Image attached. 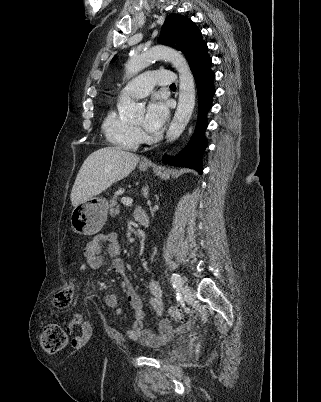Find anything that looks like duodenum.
I'll return each mask as SVG.
<instances>
[{
    "label": "duodenum",
    "mask_w": 321,
    "mask_h": 402,
    "mask_svg": "<svg viewBox=\"0 0 321 402\" xmlns=\"http://www.w3.org/2000/svg\"><path fill=\"white\" fill-rule=\"evenodd\" d=\"M134 217L135 220L137 221V223L141 226V227H147L148 226V216L147 213L145 212L144 209L142 208H137L134 212Z\"/></svg>",
    "instance_id": "obj_1"
}]
</instances>
